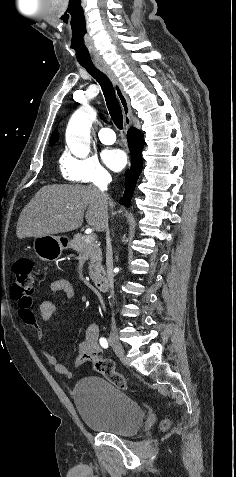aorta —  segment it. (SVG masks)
I'll list each match as a JSON object with an SVG mask.
<instances>
[{
	"label": "aorta",
	"instance_id": "aorta-1",
	"mask_svg": "<svg viewBox=\"0 0 236 477\" xmlns=\"http://www.w3.org/2000/svg\"><path fill=\"white\" fill-rule=\"evenodd\" d=\"M96 112L89 106L78 109L70 118L66 129V142L71 151L86 156L90 151V128Z\"/></svg>",
	"mask_w": 236,
	"mask_h": 477
}]
</instances>
